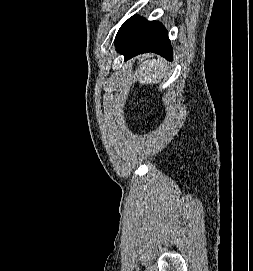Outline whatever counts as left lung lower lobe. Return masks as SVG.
<instances>
[{"instance_id": "1", "label": "left lung lower lobe", "mask_w": 253, "mask_h": 271, "mask_svg": "<svg viewBox=\"0 0 253 271\" xmlns=\"http://www.w3.org/2000/svg\"><path fill=\"white\" fill-rule=\"evenodd\" d=\"M117 51L125 60L140 53L154 52L172 60V47L167 30L157 21L134 15L119 29L115 39Z\"/></svg>"}]
</instances>
